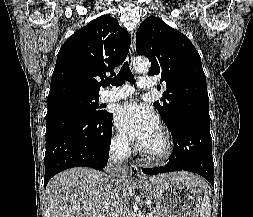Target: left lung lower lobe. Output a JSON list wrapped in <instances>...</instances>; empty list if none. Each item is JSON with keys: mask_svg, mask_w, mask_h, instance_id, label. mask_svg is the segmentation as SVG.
<instances>
[{"mask_svg": "<svg viewBox=\"0 0 253 217\" xmlns=\"http://www.w3.org/2000/svg\"><path fill=\"white\" fill-rule=\"evenodd\" d=\"M174 149L165 166L142 169L144 175L187 170L206 178L214 187L210 120L181 117L169 127Z\"/></svg>", "mask_w": 253, "mask_h": 217, "instance_id": "1", "label": "left lung lower lobe"}]
</instances>
